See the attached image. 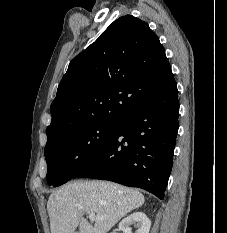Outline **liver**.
Wrapping results in <instances>:
<instances>
[{"mask_svg": "<svg viewBox=\"0 0 227 233\" xmlns=\"http://www.w3.org/2000/svg\"><path fill=\"white\" fill-rule=\"evenodd\" d=\"M144 201L139 191L112 182L67 184L53 192L47 202L51 233H107ZM85 213H94L103 219H95L94 224H90L83 217Z\"/></svg>", "mask_w": 227, "mask_h": 233, "instance_id": "obj_1", "label": "liver"}]
</instances>
